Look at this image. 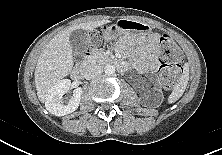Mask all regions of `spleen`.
Listing matches in <instances>:
<instances>
[{
	"instance_id": "obj_1",
	"label": "spleen",
	"mask_w": 222,
	"mask_h": 155,
	"mask_svg": "<svg viewBox=\"0 0 222 155\" xmlns=\"http://www.w3.org/2000/svg\"><path fill=\"white\" fill-rule=\"evenodd\" d=\"M189 80V66L185 64L183 67V74L180 77L178 83L174 87L171 95L168 97V103H175L185 92Z\"/></svg>"
}]
</instances>
